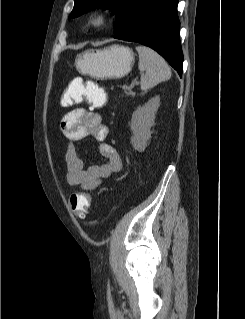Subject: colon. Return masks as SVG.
Listing matches in <instances>:
<instances>
[{
	"label": "colon",
	"instance_id": "obj_1",
	"mask_svg": "<svg viewBox=\"0 0 245 319\" xmlns=\"http://www.w3.org/2000/svg\"><path fill=\"white\" fill-rule=\"evenodd\" d=\"M75 95V103H87L92 108H101L106 103L105 91L93 80L86 78ZM73 103V104H75ZM90 204V196L85 192H74L69 199L73 213L84 217Z\"/></svg>",
	"mask_w": 245,
	"mask_h": 319
}]
</instances>
